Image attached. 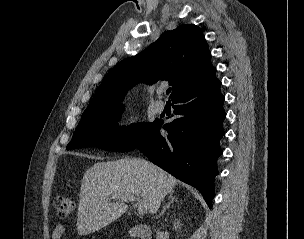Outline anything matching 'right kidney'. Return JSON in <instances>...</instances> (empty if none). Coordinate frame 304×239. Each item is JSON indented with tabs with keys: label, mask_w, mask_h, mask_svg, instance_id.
Here are the masks:
<instances>
[{
	"label": "right kidney",
	"mask_w": 304,
	"mask_h": 239,
	"mask_svg": "<svg viewBox=\"0 0 304 239\" xmlns=\"http://www.w3.org/2000/svg\"><path fill=\"white\" fill-rule=\"evenodd\" d=\"M180 226H181L180 221L177 220V222L174 223V228L175 229H178V228L180 229Z\"/></svg>",
	"instance_id": "1"
}]
</instances>
